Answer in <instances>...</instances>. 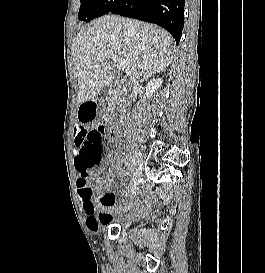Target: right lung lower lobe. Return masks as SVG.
Wrapping results in <instances>:
<instances>
[{"instance_id": "98d812e1", "label": "right lung lower lobe", "mask_w": 265, "mask_h": 273, "mask_svg": "<svg viewBox=\"0 0 265 273\" xmlns=\"http://www.w3.org/2000/svg\"><path fill=\"white\" fill-rule=\"evenodd\" d=\"M109 13L155 23L178 45L184 26V0H118Z\"/></svg>"}]
</instances>
